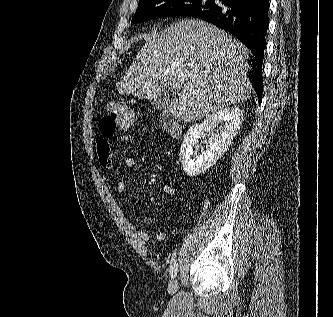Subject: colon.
<instances>
[{"mask_svg": "<svg viewBox=\"0 0 333 317\" xmlns=\"http://www.w3.org/2000/svg\"><path fill=\"white\" fill-rule=\"evenodd\" d=\"M132 110L120 102L106 105L105 114L99 122V130L104 136H112L116 132L127 131L133 124Z\"/></svg>", "mask_w": 333, "mask_h": 317, "instance_id": "1", "label": "colon"}]
</instances>
